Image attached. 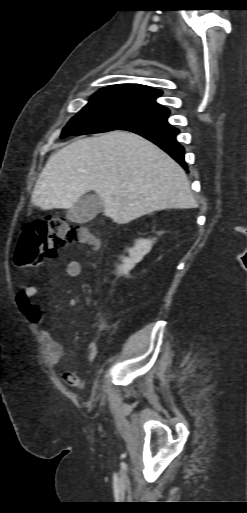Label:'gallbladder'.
Listing matches in <instances>:
<instances>
[{
	"mask_svg": "<svg viewBox=\"0 0 247 513\" xmlns=\"http://www.w3.org/2000/svg\"><path fill=\"white\" fill-rule=\"evenodd\" d=\"M103 211V204L96 195L87 194L80 197L71 208L67 210L66 217L73 223H87Z\"/></svg>",
	"mask_w": 247,
	"mask_h": 513,
	"instance_id": "obj_1",
	"label": "gallbladder"
}]
</instances>
